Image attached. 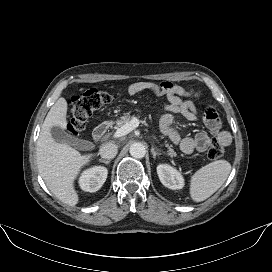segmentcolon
Instances as JSON below:
<instances>
[{"label":"colon","instance_id":"obj_1","mask_svg":"<svg viewBox=\"0 0 272 272\" xmlns=\"http://www.w3.org/2000/svg\"><path fill=\"white\" fill-rule=\"evenodd\" d=\"M189 95L198 98V95L194 92H190ZM114 98L115 96L107 91L95 88L74 96L72 98L71 116L68 124L69 132L73 135L78 134L84 128L92 114L103 106L111 103ZM204 114L206 117L216 114L214 107L207 104L204 109ZM207 154L210 160H218L223 156L224 148L222 144L215 139L212 141Z\"/></svg>","mask_w":272,"mask_h":272}]
</instances>
